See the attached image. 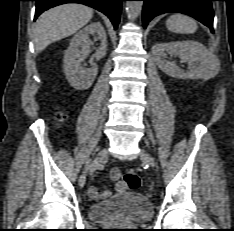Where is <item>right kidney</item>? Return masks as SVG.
Masks as SVG:
<instances>
[{
  "label": "right kidney",
  "mask_w": 234,
  "mask_h": 231,
  "mask_svg": "<svg viewBox=\"0 0 234 231\" xmlns=\"http://www.w3.org/2000/svg\"><path fill=\"white\" fill-rule=\"evenodd\" d=\"M96 34L100 40V46L96 48L93 58L90 60L91 67H81V61L86 59L90 49V35ZM107 38L104 27L100 22H94L80 30L71 39L68 49L64 53L63 70L68 82L77 90L88 89L98 73V67L93 59H102L106 55Z\"/></svg>",
  "instance_id": "1"
}]
</instances>
